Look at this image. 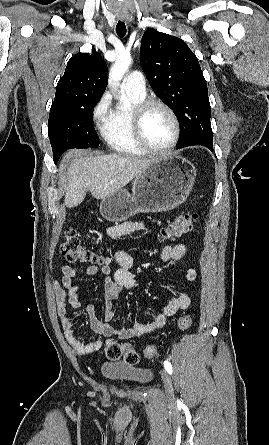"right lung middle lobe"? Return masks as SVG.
<instances>
[{
    "label": "right lung middle lobe",
    "mask_w": 269,
    "mask_h": 445,
    "mask_svg": "<svg viewBox=\"0 0 269 445\" xmlns=\"http://www.w3.org/2000/svg\"><path fill=\"white\" fill-rule=\"evenodd\" d=\"M99 98L54 101L50 108L48 135L55 163L70 148L98 147L100 139L92 122Z\"/></svg>",
    "instance_id": "right-lung-middle-lobe-1"
}]
</instances>
